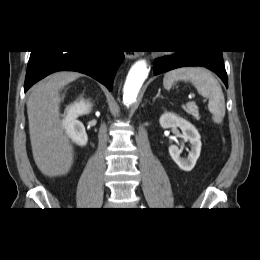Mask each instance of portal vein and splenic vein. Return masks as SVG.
Segmentation results:
<instances>
[{
    "instance_id": "obj_1",
    "label": "portal vein and splenic vein",
    "mask_w": 260,
    "mask_h": 260,
    "mask_svg": "<svg viewBox=\"0 0 260 260\" xmlns=\"http://www.w3.org/2000/svg\"><path fill=\"white\" fill-rule=\"evenodd\" d=\"M191 104V102H188L187 105Z\"/></svg>"
}]
</instances>
